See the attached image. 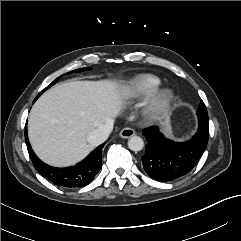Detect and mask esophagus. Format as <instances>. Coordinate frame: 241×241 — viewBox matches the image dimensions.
I'll return each mask as SVG.
<instances>
[{
    "mask_svg": "<svg viewBox=\"0 0 241 241\" xmlns=\"http://www.w3.org/2000/svg\"><path fill=\"white\" fill-rule=\"evenodd\" d=\"M119 135H120V137L127 139V138H130L133 135H135V131L132 128L126 127L121 130Z\"/></svg>",
    "mask_w": 241,
    "mask_h": 241,
    "instance_id": "34e87169",
    "label": "esophagus"
}]
</instances>
